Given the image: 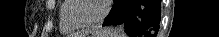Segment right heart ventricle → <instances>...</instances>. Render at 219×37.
<instances>
[{
	"label": "right heart ventricle",
	"mask_w": 219,
	"mask_h": 37,
	"mask_svg": "<svg viewBox=\"0 0 219 37\" xmlns=\"http://www.w3.org/2000/svg\"><path fill=\"white\" fill-rule=\"evenodd\" d=\"M70 7V4L67 1H62L59 8V17H60V28L63 34L73 33L77 28L71 26L65 19V12Z\"/></svg>",
	"instance_id": "obj_1"
}]
</instances>
